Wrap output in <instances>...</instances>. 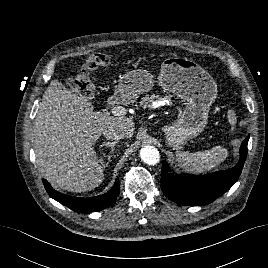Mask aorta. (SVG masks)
I'll use <instances>...</instances> for the list:
<instances>
[{"label":"aorta","mask_w":268,"mask_h":268,"mask_svg":"<svg viewBox=\"0 0 268 268\" xmlns=\"http://www.w3.org/2000/svg\"><path fill=\"white\" fill-rule=\"evenodd\" d=\"M140 157L144 163L148 165H155L160 160V154L154 146H144L140 150Z\"/></svg>","instance_id":"obj_1"}]
</instances>
